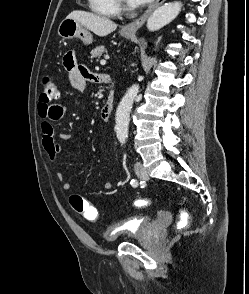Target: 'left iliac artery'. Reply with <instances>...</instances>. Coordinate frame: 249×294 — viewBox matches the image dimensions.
<instances>
[{"label": "left iliac artery", "mask_w": 249, "mask_h": 294, "mask_svg": "<svg viewBox=\"0 0 249 294\" xmlns=\"http://www.w3.org/2000/svg\"><path fill=\"white\" fill-rule=\"evenodd\" d=\"M130 184H131L133 187H136V186L138 185V182H137V180L132 179L131 182H130Z\"/></svg>", "instance_id": "44dca946"}]
</instances>
